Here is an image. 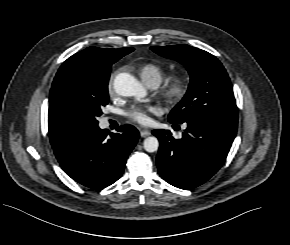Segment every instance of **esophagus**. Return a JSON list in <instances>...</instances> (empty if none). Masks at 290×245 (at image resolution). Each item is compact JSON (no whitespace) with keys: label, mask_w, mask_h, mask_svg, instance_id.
<instances>
[{"label":"esophagus","mask_w":290,"mask_h":245,"mask_svg":"<svg viewBox=\"0 0 290 245\" xmlns=\"http://www.w3.org/2000/svg\"><path fill=\"white\" fill-rule=\"evenodd\" d=\"M140 135H141V137L145 138V137L151 135V132L149 130L143 129L140 131Z\"/></svg>","instance_id":"1"}]
</instances>
